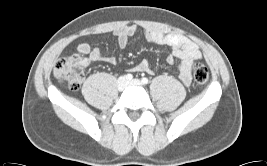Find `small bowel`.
<instances>
[{
  "label": "small bowel",
  "instance_id": "obj_1",
  "mask_svg": "<svg viewBox=\"0 0 267 166\" xmlns=\"http://www.w3.org/2000/svg\"><path fill=\"white\" fill-rule=\"evenodd\" d=\"M116 35H117V39L119 43L124 46L127 42V36H128L127 32L121 30L117 32ZM150 40L158 44L166 42L174 47L177 44V38L175 37L165 38L164 36L158 33H151ZM78 51L80 53L89 55L92 59H97L99 57V52L97 50L92 49L87 44H81L78 47ZM176 54H177L176 56L182 61V78H183L184 83L187 84L189 82V77H190V67H191L193 60H195V57L197 56V51L195 47L191 45H187L186 51L178 52ZM172 58L173 57L170 56L169 60H171ZM113 61H117V58H113ZM139 68L142 71H145L148 73L151 72V65L147 61H142L139 64Z\"/></svg>",
  "mask_w": 267,
  "mask_h": 166
}]
</instances>
